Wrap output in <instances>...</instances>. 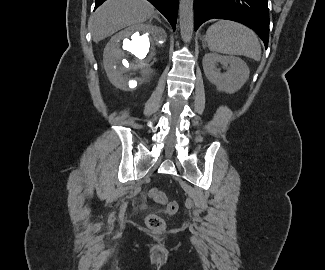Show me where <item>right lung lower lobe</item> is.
<instances>
[{"mask_svg":"<svg viewBox=\"0 0 325 270\" xmlns=\"http://www.w3.org/2000/svg\"><path fill=\"white\" fill-rule=\"evenodd\" d=\"M105 0H96L95 8ZM152 3L170 22L173 30L176 28L179 0H148Z\"/></svg>","mask_w":325,"mask_h":270,"instance_id":"right-lung-lower-lobe-1","label":"right lung lower lobe"}]
</instances>
